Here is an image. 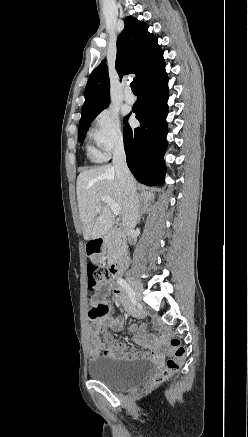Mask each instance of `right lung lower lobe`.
Returning a JSON list of instances; mask_svg holds the SVG:
<instances>
[{
    "instance_id": "right-lung-lower-lobe-1",
    "label": "right lung lower lobe",
    "mask_w": 248,
    "mask_h": 437,
    "mask_svg": "<svg viewBox=\"0 0 248 437\" xmlns=\"http://www.w3.org/2000/svg\"><path fill=\"white\" fill-rule=\"evenodd\" d=\"M133 112L140 122L132 129L124 125L127 165L138 182L161 186L165 178L164 153L167 147L168 78L164 61L139 85Z\"/></svg>"
}]
</instances>
